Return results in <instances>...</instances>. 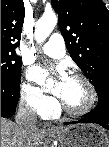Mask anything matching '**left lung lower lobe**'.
<instances>
[{"label": "left lung lower lobe", "instance_id": "1", "mask_svg": "<svg viewBox=\"0 0 109 147\" xmlns=\"http://www.w3.org/2000/svg\"><path fill=\"white\" fill-rule=\"evenodd\" d=\"M97 91L98 104L95 109L84 118L66 122L65 125L73 123H95L109 130V83L103 84Z\"/></svg>", "mask_w": 109, "mask_h": 147}]
</instances>
